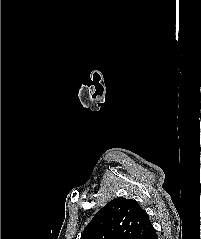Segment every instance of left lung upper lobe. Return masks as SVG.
<instances>
[{"label": "left lung upper lobe", "mask_w": 201, "mask_h": 239, "mask_svg": "<svg viewBox=\"0 0 201 239\" xmlns=\"http://www.w3.org/2000/svg\"><path fill=\"white\" fill-rule=\"evenodd\" d=\"M150 226L148 214L135 200L117 197L96 213L81 239H142Z\"/></svg>", "instance_id": "1"}]
</instances>
